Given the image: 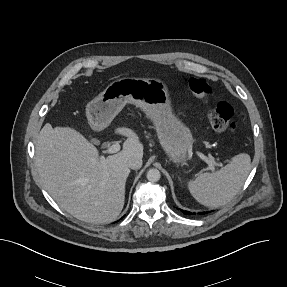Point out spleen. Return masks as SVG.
Listing matches in <instances>:
<instances>
[{"label":"spleen","instance_id":"1","mask_svg":"<svg viewBox=\"0 0 287 287\" xmlns=\"http://www.w3.org/2000/svg\"><path fill=\"white\" fill-rule=\"evenodd\" d=\"M250 170V156L246 153H240L220 170L202 173L194 180H190L188 189L200 204L210 208H218L235 197Z\"/></svg>","mask_w":287,"mask_h":287}]
</instances>
